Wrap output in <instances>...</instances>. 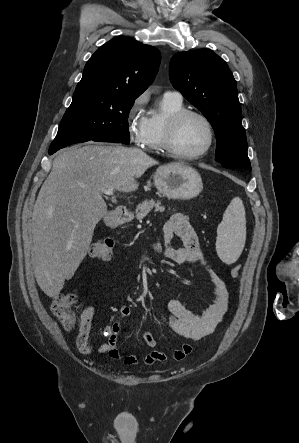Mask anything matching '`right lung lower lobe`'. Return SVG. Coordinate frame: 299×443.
<instances>
[{"label":"right lung lower lobe","mask_w":299,"mask_h":443,"mask_svg":"<svg viewBox=\"0 0 299 443\" xmlns=\"http://www.w3.org/2000/svg\"><path fill=\"white\" fill-rule=\"evenodd\" d=\"M91 140H93V141H98V142H115V143H121L120 141H118V140H116V139H113V138H105V137H103V138H94V139H91ZM87 141H89V140H87ZM82 142H86V141H82ZM59 149H61V148L49 149V154L52 155L53 153H55V152L58 151Z\"/></svg>","instance_id":"obj_1"}]
</instances>
